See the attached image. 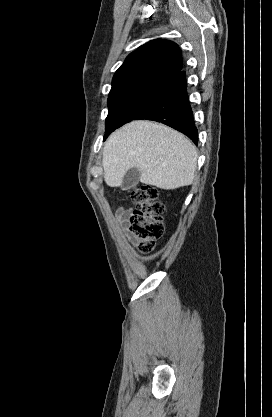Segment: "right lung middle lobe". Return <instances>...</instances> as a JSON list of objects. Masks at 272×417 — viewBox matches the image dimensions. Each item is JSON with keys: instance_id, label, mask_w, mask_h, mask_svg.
<instances>
[{"instance_id": "1", "label": "right lung middle lobe", "mask_w": 272, "mask_h": 417, "mask_svg": "<svg viewBox=\"0 0 272 417\" xmlns=\"http://www.w3.org/2000/svg\"><path fill=\"white\" fill-rule=\"evenodd\" d=\"M162 88L128 89L109 96L104 140L115 129L133 120L157 96Z\"/></svg>"}]
</instances>
